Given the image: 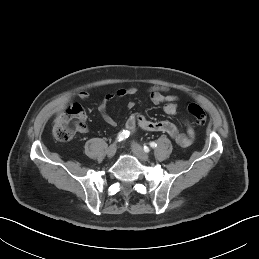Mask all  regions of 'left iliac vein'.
Returning <instances> with one entry per match:
<instances>
[{
    "label": "left iliac vein",
    "instance_id": "1",
    "mask_svg": "<svg viewBox=\"0 0 259 259\" xmlns=\"http://www.w3.org/2000/svg\"><path fill=\"white\" fill-rule=\"evenodd\" d=\"M132 152L141 160V161H148L149 155L144 151L142 146L138 143L133 142L131 145Z\"/></svg>",
    "mask_w": 259,
    "mask_h": 259
}]
</instances>
